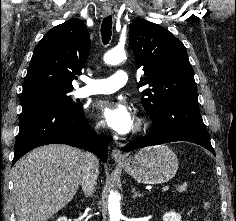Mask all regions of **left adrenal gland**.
Returning a JSON list of instances; mask_svg holds the SVG:
<instances>
[{
  "mask_svg": "<svg viewBox=\"0 0 236 221\" xmlns=\"http://www.w3.org/2000/svg\"><path fill=\"white\" fill-rule=\"evenodd\" d=\"M132 193H133V195H132L133 199H135L137 197H142L143 196L142 193H140L139 191H136L135 187H132Z\"/></svg>",
  "mask_w": 236,
  "mask_h": 221,
  "instance_id": "left-adrenal-gland-1",
  "label": "left adrenal gland"
}]
</instances>
